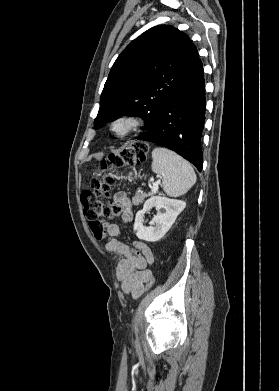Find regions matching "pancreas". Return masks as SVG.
Masks as SVG:
<instances>
[{
  "instance_id": "obj_1",
  "label": "pancreas",
  "mask_w": 279,
  "mask_h": 391,
  "mask_svg": "<svg viewBox=\"0 0 279 391\" xmlns=\"http://www.w3.org/2000/svg\"><path fill=\"white\" fill-rule=\"evenodd\" d=\"M154 193H149V194H140V193H136L135 196L132 197V203L133 205H140L141 203H143V201L145 200L146 197H149V196H152Z\"/></svg>"
}]
</instances>
